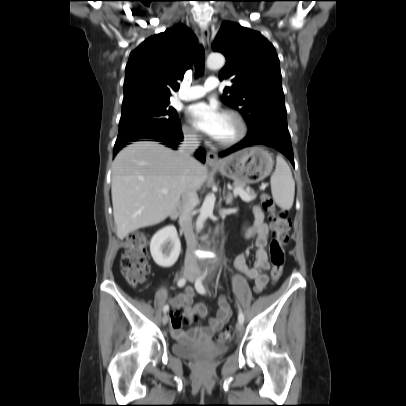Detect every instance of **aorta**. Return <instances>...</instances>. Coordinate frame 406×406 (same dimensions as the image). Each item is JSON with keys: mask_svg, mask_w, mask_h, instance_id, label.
Segmentation results:
<instances>
[{"mask_svg": "<svg viewBox=\"0 0 406 406\" xmlns=\"http://www.w3.org/2000/svg\"><path fill=\"white\" fill-rule=\"evenodd\" d=\"M225 64V57L220 53H212L207 58V67L209 69H220ZM215 195L208 194L205 197V200L202 204L200 209V214L196 221V229L197 231L201 230L205 220L208 218L209 215L213 213L214 205H215Z\"/></svg>", "mask_w": 406, "mask_h": 406, "instance_id": "obj_1", "label": "aorta"}]
</instances>
